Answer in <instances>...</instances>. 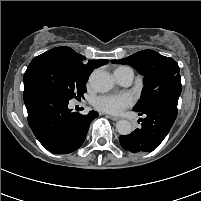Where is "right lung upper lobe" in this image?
Returning <instances> with one entry per match:
<instances>
[{"instance_id":"cb5924a9","label":"right lung upper lobe","mask_w":201,"mask_h":201,"mask_svg":"<svg viewBox=\"0 0 201 201\" xmlns=\"http://www.w3.org/2000/svg\"><path fill=\"white\" fill-rule=\"evenodd\" d=\"M58 55L60 56L65 63L67 64L68 68L78 77L85 79L87 81L90 73L95 69L98 68L106 63L108 60H89L88 62L85 61V57L75 53V51L69 47H56L53 48L37 57L44 56V55ZM35 57V58H37ZM34 58V59H35Z\"/></svg>"}]
</instances>
